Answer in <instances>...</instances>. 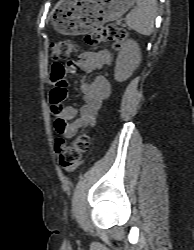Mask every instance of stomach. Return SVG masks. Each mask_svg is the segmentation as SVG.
Returning <instances> with one entry per match:
<instances>
[{
    "mask_svg": "<svg viewBox=\"0 0 194 250\" xmlns=\"http://www.w3.org/2000/svg\"><path fill=\"white\" fill-rule=\"evenodd\" d=\"M136 0H60L52 25L65 35L89 33L106 22L119 19Z\"/></svg>",
    "mask_w": 194,
    "mask_h": 250,
    "instance_id": "0dacf381",
    "label": "stomach"
}]
</instances>
